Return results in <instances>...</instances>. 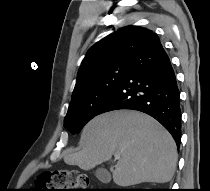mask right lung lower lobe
<instances>
[{"mask_svg": "<svg viewBox=\"0 0 210 191\" xmlns=\"http://www.w3.org/2000/svg\"><path fill=\"white\" fill-rule=\"evenodd\" d=\"M118 109L138 110L154 117L179 146V89L170 59L156 34L132 58L127 72L98 114Z\"/></svg>", "mask_w": 210, "mask_h": 191, "instance_id": "98d812e1", "label": "right lung lower lobe"}]
</instances>
